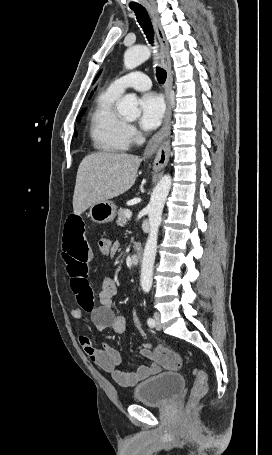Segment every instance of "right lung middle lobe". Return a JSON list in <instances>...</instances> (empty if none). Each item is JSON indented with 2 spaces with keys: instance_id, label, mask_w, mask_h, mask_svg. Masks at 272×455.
I'll return each mask as SVG.
<instances>
[{
  "instance_id": "1",
  "label": "right lung middle lobe",
  "mask_w": 272,
  "mask_h": 455,
  "mask_svg": "<svg viewBox=\"0 0 272 455\" xmlns=\"http://www.w3.org/2000/svg\"><path fill=\"white\" fill-rule=\"evenodd\" d=\"M85 109H83L81 112H80V115L77 117L76 121L79 122L80 121V116L83 115ZM75 135H77V133H75Z\"/></svg>"
}]
</instances>
